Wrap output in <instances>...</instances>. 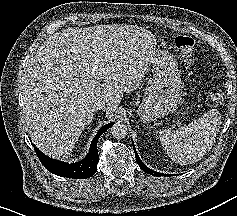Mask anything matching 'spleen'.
Here are the masks:
<instances>
[{
	"instance_id": "spleen-1",
	"label": "spleen",
	"mask_w": 237,
	"mask_h": 216,
	"mask_svg": "<svg viewBox=\"0 0 237 216\" xmlns=\"http://www.w3.org/2000/svg\"><path fill=\"white\" fill-rule=\"evenodd\" d=\"M218 126L210 123L205 114L195 122L178 130H167L158 135L166 155L174 161L192 162L203 156L214 143Z\"/></svg>"
}]
</instances>
